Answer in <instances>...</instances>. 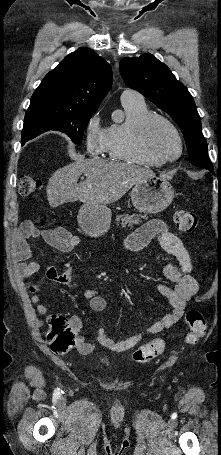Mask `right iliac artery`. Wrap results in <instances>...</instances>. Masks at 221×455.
I'll use <instances>...</instances> for the list:
<instances>
[{
    "label": "right iliac artery",
    "mask_w": 221,
    "mask_h": 455,
    "mask_svg": "<svg viewBox=\"0 0 221 455\" xmlns=\"http://www.w3.org/2000/svg\"><path fill=\"white\" fill-rule=\"evenodd\" d=\"M56 393H59V388L55 390Z\"/></svg>",
    "instance_id": "obj_1"
}]
</instances>
